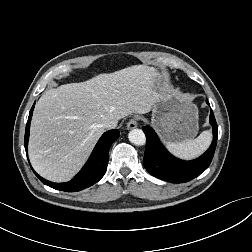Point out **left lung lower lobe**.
I'll return each instance as SVG.
<instances>
[{
	"label": "left lung lower lobe",
	"instance_id": "obj_1",
	"mask_svg": "<svg viewBox=\"0 0 252 252\" xmlns=\"http://www.w3.org/2000/svg\"><path fill=\"white\" fill-rule=\"evenodd\" d=\"M210 124L213 129L211 146L203 155L191 161H183L171 155L161 144L154 130L149 126L143 127L146 135L143 163L146 170L159 179L173 183L188 182L199 176L209 167L217 144L218 127L212 110Z\"/></svg>",
	"mask_w": 252,
	"mask_h": 252
}]
</instances>
